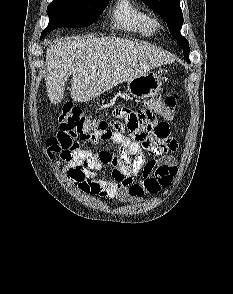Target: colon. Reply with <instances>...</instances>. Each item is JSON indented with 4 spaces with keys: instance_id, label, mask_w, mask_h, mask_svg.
I'll return each mask as SVG.
<instances>
[{
    "instance_id": "5ec220e1",
    "label": "colon",
    "mask_w": 233,
    "mask_h": 294,
    "mask_svg": "<svg viewBox=\"0 0 233 294\" xmlns=\"http://www.w3.org/2000/svg\"><path fill=\"white\" fill-rule=\"evenodd\" d=\"M139 108L161 110V117L172 120L177 114V100L174 95L168 94L157 102ZM117 113L118 110L116 117L110 120H91L79 107L72 104L64 105L59 115V132L51 141L50 158L59 156L62 160H70L79 152V139L96 141L112 132L122 133L124 125L123 129H114V126L109 125L110 121L127 120L117 118Z\"/></svg>"
}]
</instances>
